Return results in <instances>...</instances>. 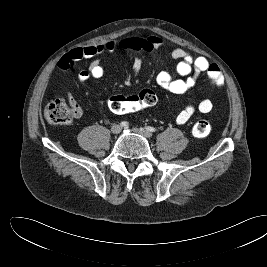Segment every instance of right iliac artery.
Segmentation results:
<instances>
[{
    "mask_svg": "<svg viewBox=\"0 0 267 267\" xmlns=\"http://www.w3.org/2000/svg\"><path fill=\"white\" fill-rule=\"evenodd\" d=\"M120 125H121L122 127H128L129 123L126 122V121H122V122L120 123Z\"/></svg>",
    "mask_w": 267,
    "mask_h": 267,
    "instance_id": "82829eb1",
    "label": "right iliac artery"
}]
</instances>
